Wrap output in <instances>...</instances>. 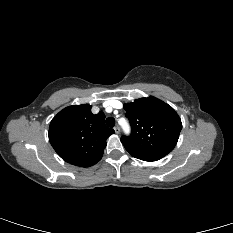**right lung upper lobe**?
I'll return each instance as SVG.
<instances>
[{
	"mask_svg": "<svg viewBox=\"0 0 233 233\" xmlns=\"http://www.w3.org/2000/svg\"><path fill=\"white\" fill-rule=\"evenodd\" d=\"M89 104L72 105L60 111L49 126V141L66 162L90 167L102 158L106 139L114 133L105 123V115H94Z\"/></svg>",
	"mask_w": 233,
	"mask_h": 233,
	"instance_id": "obj_1",
	"label": "right lung upper lobe"
}]
</instances>
